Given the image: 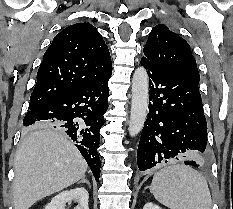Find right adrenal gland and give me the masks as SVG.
<instances>
[{"mask_svg": "<svg viewBox=\"0 0 233 209\" xmlns=\"http://www.w3.org/2000/svg\"><path fill=\"white\" fill-rule=\"evenodd\" d=\"M85 177H86V176L84 175V176L82 177V179H81L80 181H78V183L84 182V183H86L87 185L90 186L89 181H88Z\"/></svg>", "mask_w": 233, "mask_h": 209, "instance_id": "2a0ac1e0", "label": "right adrenal gland"}]
</instances>
